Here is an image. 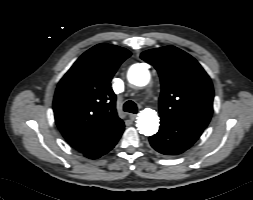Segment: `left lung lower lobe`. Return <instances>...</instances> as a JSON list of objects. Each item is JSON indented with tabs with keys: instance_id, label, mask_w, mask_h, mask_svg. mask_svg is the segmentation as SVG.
Wrapping results in <instances>:
<instances>
[{
	"instance_id": "obj_1",
	"label": "left lung lower lobe",
	"mask_w": 253,
	"mask_h": 200,
	"mask_svg": "<svg viewBox=\"0 0 253 200\" xmlns=\"http://www.w3.org/2000/svg\"><path fill=\"white\" fill-rule=\"evenodd\" d=\"M203 130L175 121L168 117H160V129L149 137L151 146L164 155H178L190 148L201 136Z\"/></svg>"
}]
</instances>
